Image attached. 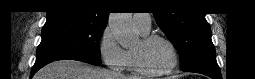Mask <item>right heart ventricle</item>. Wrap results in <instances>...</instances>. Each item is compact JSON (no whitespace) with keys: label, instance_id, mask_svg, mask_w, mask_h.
<instances>
[{"label":"right heart ventricle","instance_id":"e07e8e85","mask_svg":"<svg viewBox=\"0 0 255 79\" xmlns=\"http://www.w3.org/2000/svg\"><path fill=\"white\" fill-rule=\"evenodd\" d=\"M139 30V29H138ZM139 32L142 34V35H146L147 32H143L141 30H139ZM126 55H127V68L130 70V71H133L135 70V67H134V62H133V56H132V50H126Z\"/></svg>","mask_w":255,"mask_h":79}]
</instances>
